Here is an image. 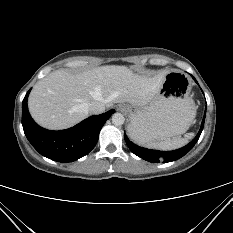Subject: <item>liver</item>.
Listing matches in <instances>:
<instances>
[{"instance_id": "6515ba94", "label": "liver", "mask_w": 233, "mask_h": 233, "mask_svg": "<svg viewBox=\"0 0 233 233\" xmlns=\"http://www.w3.org/2000/svg\"><path fill=\"white\" fill-rule=\"evenodd\" d=\"M168 71L139 74L125 66H102L79 74L56 70L33 87L28 108L41 126L60 130L74 126L89 116V105L101 102L136 106L148 104L157 94Z\"/></svg>"}]
</instances>
